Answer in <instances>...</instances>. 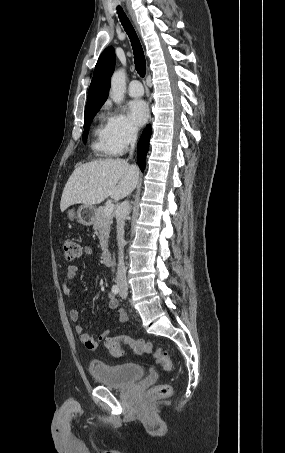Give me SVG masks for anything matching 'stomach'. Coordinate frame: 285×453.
I'll return each instance as SVG.
<instances>
[{"label":"stomach","mask_w":285,"mask_h":453,"mask_svg":"<svg viewBox=\"0 0 285 453\" xmlns=\"http://www.w3.org/2000/svg\"><path fill=\"white\" fill-rule=\"evenodd\" d=\"M96 209L93 206L81 205L77 211L74 209H69L66 213L67 218L70 221H73L77 218L78 222L84 226H90L94 222Z\"/></svg>","instance_id":"1"}]
</instances>
